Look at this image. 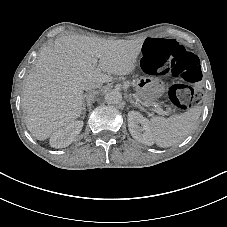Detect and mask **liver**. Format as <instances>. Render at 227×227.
I'll list each match as a JSON object with an SVG mask.
<instances>
[{
    "label": "liver",
    "mask_w": 227,
    "mask_h": 227,
    "mask_svg": "<svg viewBox=\"0 0 227 227\" xmlns=\"http://www.w3.org/2000/svg\"><path fill=\"white\" fill-rule=\"evenodd\" d=\"M144 40L74 34L60 36L53 47H44L37 57L36 72L23 82L22 107L28 130L45 141L73 123L82 113L86 84L102 85L112 82L111 75L135 74Z\"/></svg>",
    "instance_id": "1"
}]
</instances>
